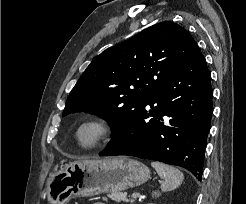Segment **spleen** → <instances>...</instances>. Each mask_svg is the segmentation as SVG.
Instances as JSON below:
<instances>
[{"label": "spleen", "instance_id": "obj_1", "mask_svg": "<svg viewBox=\"0 0 246 204\" xmlns=\"http://www.w3.org/2000/svg\"><path fill=\"white\" fill-rule=\"evenodd\" d=\"M151 166L157 171L161 179H163L160 187L163 192L177 188L184 179L183 173L174 166L157 161H152Z\"/></svg>", "mask_w": 246, "mask_h": 204}]
</instances>
